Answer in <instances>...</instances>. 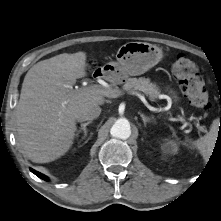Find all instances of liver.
<instances>
[{
  "label": "liver",
  "mask_w": 221,
  "mask_h": 221,
  "mask_svg": "<svg viewBox=\"0 0 221 221\" xmlns=\"http://www.w3.org/2000/svg\"><path fill=\"white\" fill-rule=\"evenodd\" d=\"M86 53H63L36 63L25 75L16 107L18 141L35 163H48L72 146L76 120L87 105L104 104L100 94L72 89L86 76Z\"/></svg>",
  "instance_id": "6515ba94"
}]
</instances>
